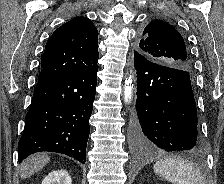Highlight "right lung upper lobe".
<instances>
[{
    "label": "right lung upper lobe",
    "instance_id": "obj_1",
    "mask_svg": "<svg viewBox=\"0 0 224 184\" xmlns=\"http://www.w3.org/2000/svg\"><path fill=\"white\" fill-rule=\"evenodd\" d=\"M98 31L86 17L60 26L48 40L38 81L89 70L98 63Z\"/></svg>",
    "mask_w": 224,
    "mask_h": 184
}]
</instances>
